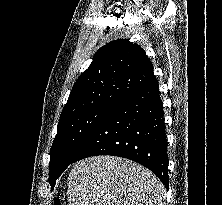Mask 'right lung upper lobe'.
Masks as SVG:
<instances>
[{
	"instance_id": "obj_1",
	"label": "right lung upper lobe",
	"mask_w": 222,
	"mask_h": 205,
	"mask_svg": "<svg viewBox=\"0 0 222 205\" xmlns=\"http://www.w3.org/2000/svg\"><path fill=\"white\" fill-rule=\"evenodd\" d=\"M156 79L143 49L127 40L101 47L75 82L60 120L89 108L118 103L130 92Z\"/></svg>"
}]
</instances>
